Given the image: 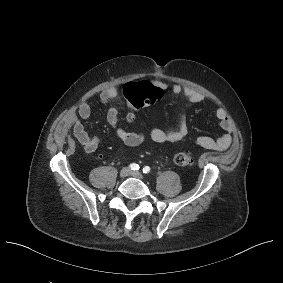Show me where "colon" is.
I'll list each match as a JSON object with an SVG mask.
<instances>
[{
  "instance_id": "5ec220e1",
  "label": "colon",
  "mask_w": 283,
  "mask_h": 283,
  "mask_svg": "<svg viewBox=\"0 0 283 283\" xmlns=\"http://www.w3.org/2000/svg\"><path fill=\"white\" fill-rule=\"evenodd\" d=\"M124 95L130 107L127 121L134 120V110L148 106L159 101L163 96V90L147 81L127 83L124 87ZM193 163V157L189 150L177 152L173 157V164L177 167H188Z\"/></svg>"
}]
</instances>
